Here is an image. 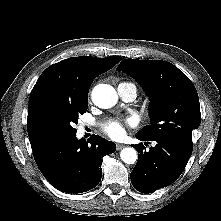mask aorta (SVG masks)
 Listing matches in <instances>:
<instances>
[{
	"instance_id": "762f6f07",
	"label": "aorta",
	"mask_w": 221,
	"mask_h": 221,
	"mask_svg": "<svg viewBox=\"0 0 221 221\" xmlns=\"http://www.w3.org/2000/svg\"><path fill=\"white\" fill-rule=\"evenodd\" d=\"M93 103L99 108L113 107L118 101L116 90L108 84L96 85L91 93ZM121 160L126 164H134L137 161V152L132 147H126L120 152Z\"/></svg>"
}]
</instances>
